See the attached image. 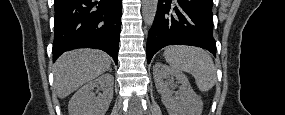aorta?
I'll return each mask as SVG.
<instances>
[{
	"label": "aorta",
	"instance_id": "1",
	"mask_svg": "<svg viewBox=\"0 0 285 115\" xmlns=\"http://www.w3.org/2000/svg\"><path fill=\"white\" fill-rule=\"evenodd\" d=\"M158 0H142V15L146 26H152L156 11Z\"/></svg>",
	"mask_w": 285,
	"mask_h": 115
}]
</instances>
